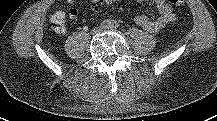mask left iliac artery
Returning a JSON list of instances; mask_svg holds the SVG:
<instances>
[{
    "mask_svg": "<svg viewBox=\"0 0 217 121\" xmlns=\"http://www.w3.org/2000/svg\"><path fill=\"white\" fill-rule=\"evenodd\" d=\"M111 26L114 28L117 26L116 22H112Z\"/></svg>",
    "mask_w": 217,
    "mask_h": 121,
    "instance_id": "left-iliac-artery-1",
    "label": "left iliac artery"
}]
</instances>
